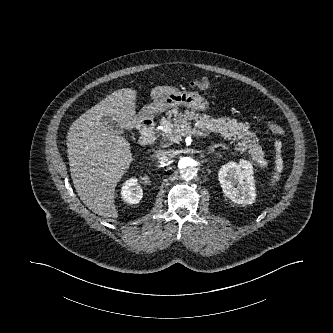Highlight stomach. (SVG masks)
Segmentation results:
<instances>
[{
  "instance_id": "1",
  "label": "stomach",
  "mask_w": 333,
  "mask_h": 333,
  "mask_svg": "<svg viewBox=\"0 0 333 333\" xmlns=\"http://www.w3.org/2000/svg\"><path fill=\"white\" fill-rule=\"evenodd\" d=\"M179 105H183L193 110H205L208 107V102L204 97L199 95L198 92L188 91H172L165 94L158 100H154L140 113L143 117H154L155 115L162 113L168 109L176 108Z\"/></svg>"
}]
</instances>
